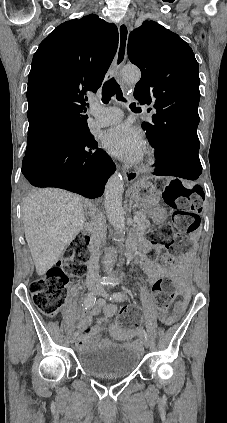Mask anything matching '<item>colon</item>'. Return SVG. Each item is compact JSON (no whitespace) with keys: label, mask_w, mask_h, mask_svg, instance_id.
<instances>
[{"label":"colon","mask_w":227,"mask_h":423,"mask_svg":"<svg viewBox=\"0 0 227 423\" xmlns=\"http://www.w3.org/2000/svg\"><path fill=\"white\" fill-rule=\"evenodd\" d=\"M162 189L165 203L173 208L171 224L166 223L149 236L155 245L165 247L170 254H178L190 248L188 234L199 227L201 195L198 185H184L180 181L163 182ZM89 236L77 234L66 248L63 258L43 276L30 285L34 304L48 317H55L66 299L69 276H82L87 269ZM177 293L175 274L159 279L153 285V298L160 311L168 310ZM118 325L126 330H135L140 323V314L136 306L121 310Z\"/></svg>","instance_id":"obj_1"}]
</instances>
